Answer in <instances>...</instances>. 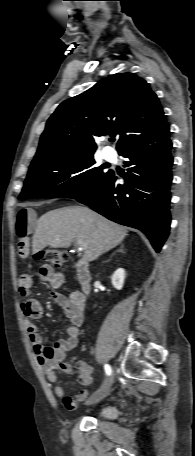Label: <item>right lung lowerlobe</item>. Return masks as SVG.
Listing matches in <instances>:
<instances>
[{"label": "right lung lower lobe", "mask_w": 195, "mask_h": 456, "mask_svg": "<svg viewBox=\"0 0 195 456\" xmlns=\"http://www.w3.org/2000/svg\"><path fill=\"white\" fill-rule=\"evenodd\" d=\"M172 142L131 145L119 154L128 161L125 184L113 172L85 195L77 197L96 212L119 224L145 233L156 252L161 250L170 228Z\"/></svg>", "instance_id": "right-lung-lower-lobe-1"}]
</instances>
